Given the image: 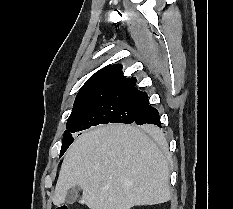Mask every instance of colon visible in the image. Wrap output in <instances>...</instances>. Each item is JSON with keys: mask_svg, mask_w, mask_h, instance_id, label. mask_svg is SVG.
I'll return each mask as SVG.
<instances>
[{"mask_svg": "<svg viewBox=\"0 0 233 209\" xmlns=\"http://www.w3.org/2000/svg\"><path fill=\"white\" fill-rule=\"evenodd\" d=\"M56 209H68V207L66 205H61V206L57 207Z\"/></svg>", "mask_w": 233, "mask_h": 209, "instance_id": "1", "label": "colon"}]
</instances>
